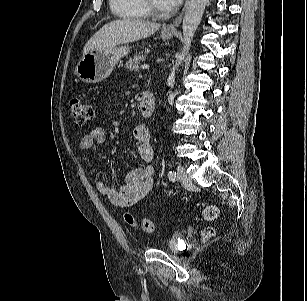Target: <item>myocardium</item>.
<instances>
[{"label":"myocardium","instance_id":"obj_1","mask_svg":"<svg viewBox=\"0 0 307 301\" xmlns=\"http://www.w3.org/2000/svg\"><path fill=\"white\" fill-rule=\"evenodd\" d=\"M143 3L144 8L146 9L147 13L152 16H163L165 13L163 11H160L156 9L152 4L150 0H141Z\"/></svg>","mask_w":307,"mask_h":301}]
</instances>
